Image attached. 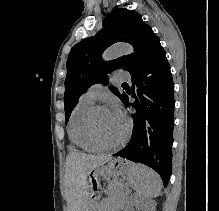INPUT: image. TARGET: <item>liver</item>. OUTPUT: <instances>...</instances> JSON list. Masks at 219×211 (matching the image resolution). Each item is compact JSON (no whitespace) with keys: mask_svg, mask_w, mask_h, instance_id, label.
I'll return each mask as SVG.
<instances>
[{"mask_svg":"<svg viewBox=\"0 0 219 211\" xmlns=\"http://www.w3.org/2000/svg\"><path fill=\"white\" fill-rule=\"evenodd\" d=\"M111 159V155H90L72 151L66 157V201L68 211H85L88 201L86 177L88 169L99 167Z\"/></svg>","mask_w":219,"mask_h":211,"instance_id":"6515ba94","label":"liver"}]
</instances>
